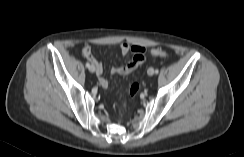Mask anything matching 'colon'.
<instances>
[{
	"mask_svg": "<svg viewBox=\"0 0 244 157\" xmlns=\"http://www.w3.org/2000/svg\"><path fill=\"white\" fill-rule=\"evenodd\" d=\"M150 53L153 56H160V57L167 56V52L161 48H154L150 51ZM136 59L140 62H144L145 60L144 52L140 53ZM139 90H140V85L138 83L132 84L129 90L131 97H135L138 94Z\"/></svg>",
	"mask_w": 244,
	"mask_h": 157,
	"instance_id": "obj_1",
	"label": "colon"
}]
</instances>
